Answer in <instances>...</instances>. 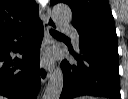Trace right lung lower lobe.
<instances>
[{
	"label": "right lung lower lobe",
	"mask_w": 128,
	"mask_h": 99,
	"mask_svg": "<svg viewBox=\"0 0 128 99\" xmlns=\"http://www.w3.org/2000/svg\"><path fill=\"white\" fill-rule=\"evenodd\" d=\"M43 34V24L36 18L0 37V95L10 99H36L40 89ZM11 51L22 54V59L11 58Z\"/></svg>",
	"instance_id": "1"
}]
</instances>
